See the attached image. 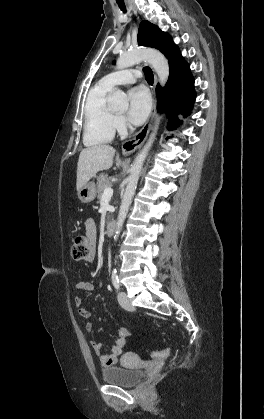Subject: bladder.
<instances>
[{"label":"bladder","instance_id":"bladder-1","mask_svg":"<svg viewBox=\"0 0 264 419\" xmlns=\"http://www.w3.org/2000/svg\"><path fill=\"white\" fill-rule=\"evenodd\" d=\"M144 377L145 372L143 370L125 365L110 366L102 370L104 382L127 388L138 385Z\"/></svg>","mask_w":264,"mask_h":419}]
</instances>
